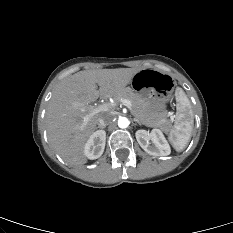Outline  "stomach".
<instances>
[{
  "mask_svg": "<svg viewBox=\"0 0 233 233\" xmlns=\"http://www.w3.org/2000/svg\"><path fill=\"white\" fill-rule=\"evenodd\" d=\"M131 87L147 103L155 98L169 102L178 93V86L171 76L156 69H142L137 72L131 80Z\"/></svg>",
  "mask_w": 233,
  "mask_h": 233,
  "instance_id": "stomach-1",
  "label": "stomach"
}]
</instances>
